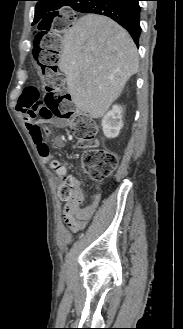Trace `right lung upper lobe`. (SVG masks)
<instances>
[{
    "instance_id": "right-lung-upper-lobe-1",
    "label": "right lung upper lobe",
    "mask_w": 183,
    "mask_h": 329,
    "mask_svg": "<svg viewBox=\"0 0 183 329\" xmlns=\"http://www.w3.org/2000/svg\"><path fill=\"white\" fill-rule=\"evenodd\" d=\"M38 1L36 5L35 12L40 13L39 16H35L34 23L38 21L43 22L52 13V11L57 10L64 6H70L71 0H36Z\"/></svg>"
}]
</instances>
